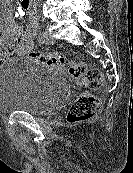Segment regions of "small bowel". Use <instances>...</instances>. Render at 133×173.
Segmentation results:
<instances>
[{"label":"small bowel","mask_w":133,"mask_h":173,"mask_svg":"<svg viewBox=\"0 0 133 173\" xmlns=\"http://www.w3.org/2000/svg\"><path fill=\"white\" fill-rule=\"evenodd\" d=\"M18 15H29V23L25 29L15 23L11 18L0 20V53L3 59L6 55H23L31 57L33 51V39L38 28V15L26 6L22 0L19 2ZM13 44L11 48L9 45Z\"/></svg>","instance_id":"small-bowel-1"}]
</instances>
